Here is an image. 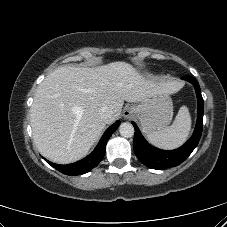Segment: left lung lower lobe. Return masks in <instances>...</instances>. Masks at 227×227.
I'll return each instance as SVG.
<instances>
[{"instance_id":"0a47b994","label":"left lung lower lobe","mask_w":227,"mask_h":227,"mask_svg":"<svg viewBox=\"0 0 227 227\" xmlns=\"http://www.w3.org/2000/svg\"><path fill=\"white\" fill-rule=\"evenodd\" d=\"M182 79L193 84L198 99L197 124L193 135L183 146L170 151L153 147L147 143L137 125L132 122L135 128L134 152L139 161L149 168L165 169L181 164L192 153L201 138L203 127V98L200 86L197 80L191 76H184Z\"/></svg>"}]
</instances>
